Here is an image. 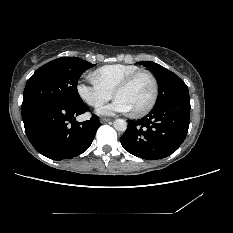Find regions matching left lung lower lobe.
<instances>
[{
	"mask_svg": "<svg viewBox=\"0 0 233 233\" xmlns=\"http://www.w3.org/2000/svg\"><path fill=\"white\" fill-rule=\"evenodd\" d=\"M190 121V98L154 107L144 118L128 121L120 138L131 154L156 160L169 156L185 140Z\"/></svg>",
	"mask_w": 233,
	"mask_h": 233,
	"instance_id": "obj_1",
	"label": "left lung lower lobe"
}]
</instances>
